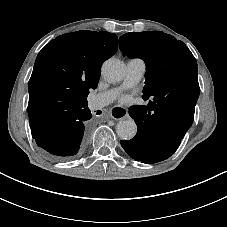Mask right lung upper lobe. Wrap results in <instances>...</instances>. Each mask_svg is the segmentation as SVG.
Masks as SVG:
<instances>
[{
  "instance_id": "cb5924a9",
  "label": "right lung upper lobe",
  "mask_w": 227,
  "mask_h": 227,
  "mask_svg": "<svg viewBox=\"0 0 227 227\" xmlns=\"http://www.w3.org/2000/svg\"><path fill=\"white\" fill-rule=\"evenodd\" d=\"M116 51L117 36L106 31L66 33L47 44L28 84L31 127L47 132L65 126L72 110L87 103L102 63Z\"/></svg>"
}]
</instances>
